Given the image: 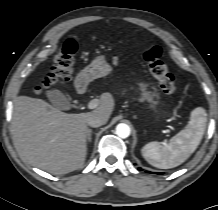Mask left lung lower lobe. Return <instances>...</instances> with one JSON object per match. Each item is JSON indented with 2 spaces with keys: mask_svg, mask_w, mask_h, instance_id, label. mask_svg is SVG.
<instances>
[{
  "mask_svg": "<svg viewBox=\"0 0 218 210\" xmlns=\"http://www.w3.org/2000/svg\"><path fill=\"white\" fill-rule=\"evenodd\" d=\"M139 170H142L141 168H138ZM158 174H162V173H158Z\"/></svg>",
  "mask_w": 218,
  "mask_h": 210,
  "instance_id": "obj_1",
  "label": "left lung lower lobe"
}]
</instances>
